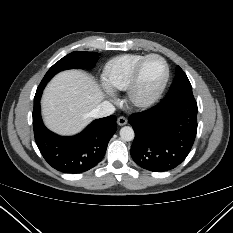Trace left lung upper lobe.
Returning a JSON list of instances; mask_svg holds the SVG:
<instances>
[{"mask_svg": "<svg viewBox=\"0 0 233 233\" xmlns=\"http://www.w3.org/2000/svg\"><path fill=\"white\" fill-rule=\"evenodd\" d=\"M173 98H194L190 81L179 66L176 67L174 81L163 101Z\"/></svg>", "mask_w": 233, "mask_h": 233, "instance_id": "5c2ea615", "label": "left lung upper lobe"}]
</instances>
